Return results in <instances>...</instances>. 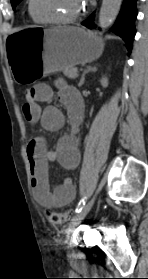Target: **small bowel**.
<instances>
[{"label":"small bowel","mask_w":148,"mask_h":279,"mask_svg":"<svg viewBox=\"0 0 148 279\" xmlns=\"http://www.w3.org/2000/svg\"><path fill=\"white\" fill-rule=\"evenodd\" d=\"M33 88L34 100L23 105L25 118L31 123L40 122L47 131L57 132L61 130L65 124V116L59 108L51 104L55 91L51 86L42 83L35 85ZM57 96L65 106L72 124L77 126L84 112L79 93L69 86L59 84ZM42 104H45V107H42ZM26 153L35 200L45 208L62 207L70 204L76 195L72 179L65 178L61 184L51 190L48 178V163L57 161L66 169L77 167L80 154L74 136L62 137L53 151L47 149L43 138H33L27 144Z\"/></svg>","instance_id":"1"}]
</instances>
